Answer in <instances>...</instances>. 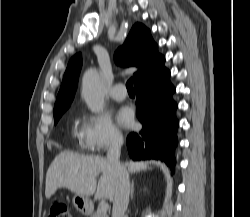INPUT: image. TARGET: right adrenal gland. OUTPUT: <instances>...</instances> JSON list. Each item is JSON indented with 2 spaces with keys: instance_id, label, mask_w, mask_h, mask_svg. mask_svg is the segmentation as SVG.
I'll list each match as a JSON object with an SVG mask.
<instances>
[{
  "instance_id": "obj_1",
  "label": "right adrenal gland",
  "mask_w": 250,
  "mask_h": 217,
  "mask_svg": "<svg viewBox=\"0 0 250 217\" xmlns=\"http://www.w3.org/2000/svg\"><path fill=\"white\" fill-rule=\"evenodd\" d=\"M134 196V182L131 184V198Z\"/></svg>"
}]
</instances>
